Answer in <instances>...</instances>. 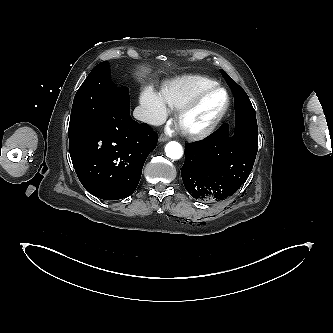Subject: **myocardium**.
Returning a JSON list of instances; mask_svg holds the SVG:
<instances>
[{
	"label": "myocardium",
	"instance_id": "myocardium-1",
	"mask_svg": "<svg viewBox=\"0 0 333 333\" xmlns=\"http://www.w3.org/2000/svg\"><path fill=\"white\" fill-rule=\"evenodd\" d=\"M223 91L225 94V102L220 111L205 125L200 127H191L186 124V119L190 113L202 102V100L207 97L209 94ZM231 106V96L229 91L219 85L215 84L210 86L198 94H196L192 99H190L185 105L178 109L177 115L175 117V124L177 129L186 137L190 139H202L211 135L221 122L226 117Z\"/></svg>",
	"mask_w": 333,
	"mask_h": 333
}]
</instances>
